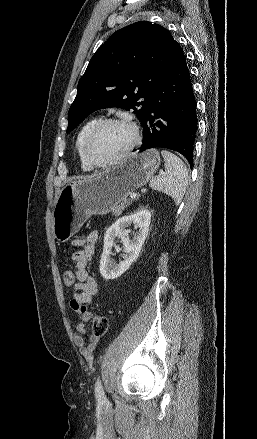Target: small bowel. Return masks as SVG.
Listing matches in <instances>:
<instances>
[{"instance_id":"small-bowel-1","label":"small bowel","mask_w":257,"mask_h":439,"mask_svg":"<svg viewBox=\"0 0 257 439\" xmlns=\"http://www.w3.org/2000/svg\"><path fill=\"white\" fill-rule=\"evenodd\" d=\"M98 239V232L93 230L86 236L75 238L71 242L72 246L78 248V250L72 254V260L75 262L73 272L76 278L74 285L76 292L70 301V307L81 318L75 328L74 342L79 348L80 353L89 362L92 361L93 352L100 341V338L94 334L88 337V342H86L84 338V335L88 331L87 322L91 317L88 305L92 303L93 297L98 292L97 282L87 270L88 262L94 255Z\"/></svg>"}]
</instances>
